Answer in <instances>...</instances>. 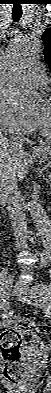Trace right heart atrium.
Returning <instances> with one entry per match:
<instances>
[{
	"mask_svg": "<svg viewBox=\"0 0 51 393\" xmlns=\"http://www.w3.org/2000/svg\"><path fill=\"white\" fill-rule=\"evenodd\" d=\"M34 122L21 115L6 99L0 98V126L10 135L26 137L32 133Z\"/></svg>",
	"mask_w": 51,
	"mask_h": 393,
	"instance_id": "d8ad5b80",
	"label": "right heart atrium"
}]
</instances>
